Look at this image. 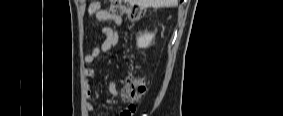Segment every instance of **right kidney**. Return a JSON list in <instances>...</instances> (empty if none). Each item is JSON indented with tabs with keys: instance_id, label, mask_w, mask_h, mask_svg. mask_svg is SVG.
I'll return each instance as SVG.
<instances>
[{
	"instance_id": "obj_1",
	"label": "right kidney",
	"mask_w": 283,
	"mask_h": 116,
	"mask_svg": "<svg viewBox=\"0 0 283 116\" xmlns=\"http://www.w3.org/2000/svg\"><path fill=\"white\" fill-rule=\"evenodd\" d=\"M154 37V33H144L137 38V45L141 48L148 47Z\"/></svg>"
}]
</instances>
